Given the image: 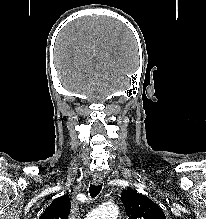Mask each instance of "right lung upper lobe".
<instances>
[{
    "label": "right lung upper lobe",
    "mask_w": 206,
    "mask_h": 219,
    "mask_svg": "<svg viewBox=\"0 0 206 219\" xmlns=\"http://www.w3.org/2000/svg\"><path fill=\"white\" fill-rule=\"evenodd\" d=\"M71 203L68 196H62L52 201L39 219H67L70 213Z\"/></svg>",
    "instance_id": "1"
}]
</instances>
